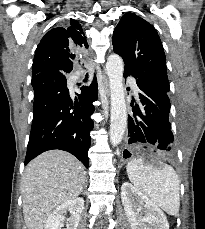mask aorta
Wrapping results in <instances>:
<instances>
[{"mask_svg":"<svg viewBox=\"0 0 205 229\" xmlns=\"http://www.w3.org/2000/svg\"><path fill=\"white\" fill-rule=\"evenodd\" d=\"M111 96L110 142L113 146L121 143L127 126V109L123 85L124 63L117 54H112L106 62Z\"/></svg>","mask_w":205,"mask_h":229,"instance_id":"aorta-1","label":"aorta"}]
</instances>
